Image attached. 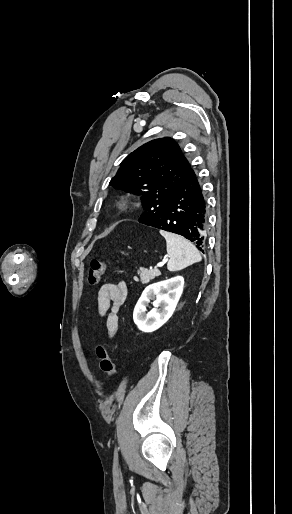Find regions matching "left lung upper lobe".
<instances>
[{
    "instance_id": "obj_1",
    "label": "left lung upper lobe",
    "mask_w": 292,
    "mask_h": 514,
    "mask_svg": "<svg viewBox=\"0 0 292 514\" xmlns=\"http://www.w3.org/2000/svg\"><path fill=\"white\" fill-rule=\"evenodd\" d=\"M191 165L177 142L169 137L152 140L130 153L110 185L141 196L140 223L156 218L163 205L189 174Z\"/></svg>"
}]
</instances>
